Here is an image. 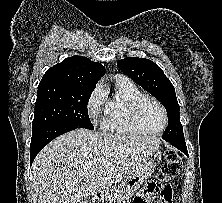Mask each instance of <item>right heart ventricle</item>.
Returning <instances> with one entry per match:
<instances>
[{
    "mask_svg": "<svg viewBox=\"0 0 222 203\" xmlns=\"http://www.w3.org/2000/svg\"><path fill=\"white\" fill-rule=\"evenodd\" d=\"M143 96L134 83L125 78H117L114 92L106 103L102 122L104 130L120 135H142L133 121L131 108L133 103Z\"/></svg>",
    "mask_w": 222,
    "mask_h": 203,
    "instance_id": "obj_1",
    "label": "right heart ventricle"
}]
</instances>
